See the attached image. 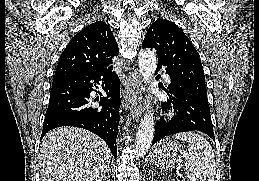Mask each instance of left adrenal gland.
<instances>
[{
    "mask_svg": "<svg viewBox=\"0 0 259 181\" xmlns=\"http://www.w3.org/2000/svg\"><path fill=\"white\" fill-rule=\"evenodd\" d=\"M155 174H157L156 171H152V179L154 178Z\"/></svg>",
    "mask_w": 259,
    "mask_h": 181,
    "instance_id": "obj_1",
    "label": "left adrenal gland"
}]
</instances>
